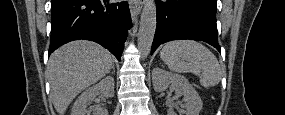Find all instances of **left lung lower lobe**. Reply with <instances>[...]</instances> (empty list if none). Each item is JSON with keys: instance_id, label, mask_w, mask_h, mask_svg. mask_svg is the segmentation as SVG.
Segmentation results:
<instances>
[{"instance_id": "left-lung-lower-lobe-1", "label": "left lung lower lobe", "mask_w": 285, "mask_h": 115, "mask_svg": "<svg viewBox=\"0 0 285 115\" xmlns=\"http://www.w3.org/2000/svg\"><path fill=\"white\" fill-rule=\"evenodd\" d=\"M157 26L151 54L162 43L193 39L207 42L219 52L216 0H156Z\"/></svg>"}]
</instances>
